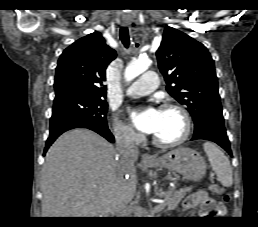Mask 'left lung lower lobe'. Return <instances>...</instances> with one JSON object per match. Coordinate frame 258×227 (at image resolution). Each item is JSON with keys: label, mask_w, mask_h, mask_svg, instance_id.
Masks as SVG:
<instances>
[{"label": "left lung lower lobe", "mask_w": 258, "mask_h": 227, "mask_svg": "<svg viewBox=\"0 0 258 227\" xmlns=\"http://www.w3.org/2000/svg\"><path fill=\"white\" fill-rule=\"evenodd\" d=\"M197 139L213 141L232 156L230 143L226 134L224 123L211 122L207 124L201 131L194 133L192 140Z\"/></svg>", "instance_id": "1"}]
</instances>
